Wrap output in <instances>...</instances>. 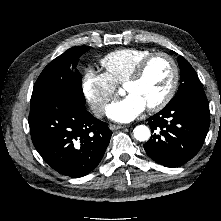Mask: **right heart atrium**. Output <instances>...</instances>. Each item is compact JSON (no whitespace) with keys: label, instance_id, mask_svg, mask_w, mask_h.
Segmentation results:
<instances>
[{"label":"right heart atrium","instance_id":"obj_1","mask_svg":"<svg viewBox=\"0 0 221 221\" xmlns=\"http://www.w3.org/2000/svg\"><path fill=\"white\" fill-rule=\"evenodd\" d=\"M82 91L92 111L101 117L116 96V84L105 73L87 70L82 79Z\"/></svg>","mask_w":221,"mask_h":221}]
</instances>
